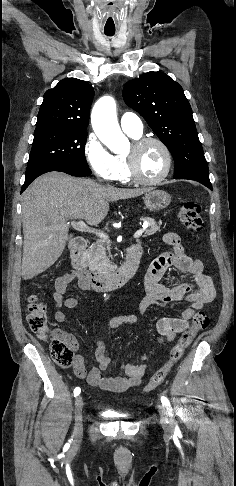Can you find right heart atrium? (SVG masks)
I'll list each match as a JSON object with an SVG mask.
<instances>
[{"mask_svg":"<svg viewBox=\"0 0 236 486\" xmlns=\"http://www.w3.org/2000/svg\"><path fill=\"white\" fill-rule=\"evenodd\" d=\"M84 155L90 168L99 178L107 181L116 180L118 167L115 156L107 150L94 133L87 136L84 143Z\"/></svg>","mask_w":236,"mask_h":486,"instance_id":"d8ad5b80","label":"right heart atrium"}]
</instances>
